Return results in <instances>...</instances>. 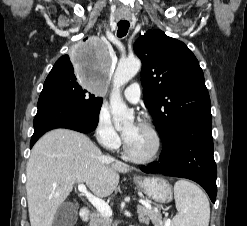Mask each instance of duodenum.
I'll return each instance as SVG.
<instances>
[{"label":"duodenum","mask_w":247,"mask_h":226,"mask_svg":"<svg viewBox=\"0 0 247 226\" xmlns=\"http://www.w3.org/2000/svg\"><path fill=\"white\" fill-rule=\"evenodd\" d=\"M90 217V210L86 207L80 209V218L82 221H87Z\"/></svg>","instance_id":"obj_1"}]
</instances>
